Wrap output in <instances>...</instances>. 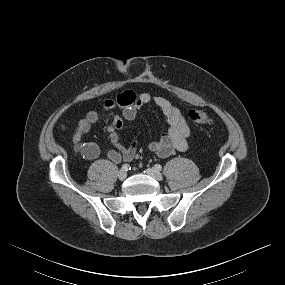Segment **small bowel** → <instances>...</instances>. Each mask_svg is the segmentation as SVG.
<instances>
[{
	"label": "small bowel",
	"instance_id": "obj_1",
	"mask_svg": "<svg viewBox=\"0 0 285 285\" xmlns=\"http://www.w3.org/2000/svg\"><path fill=\"white\" fill-rule=\"evenodd\" d=\"M148 104L156 105L165 115L169 125L158 140L149 143V150L159 157L166 158L176 151L188 149L191 129L180 109L162 96L127 90L115 99L106 100L103 104V111L111 115L112 118L111 123L106 127V131L114 147L108 151L107 156L113 162L131 161L135 157L137 141L134 140L129 147H124L119 141V132L123 129V119L133 120L136 117L137 110ZM116 109H121L122 115L118 114ZM99 119L100 113L98 111H88L85 117L79 121L73 135L75 152L87 160L97 158L100 150L96 143H84L82 140Z\"/></svg>",
	"mask_w": 285,
	"mask_h": 285
}]
</instances>
